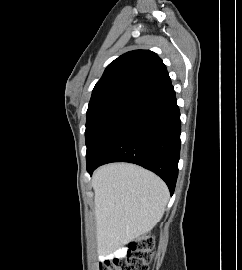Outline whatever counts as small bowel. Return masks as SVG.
<instances>
[{
	"label": "small bowel",
	"mask_w": 242,
	"mask_h": 270,
	"mask_svg": "<svg viewBox=\"0 0 242 270\" xmlns=\"http://www.w3.org/2000/svg\"><path fill=\"white\" fill-rule=\"evenodd\" d=\"M124 253H125V249H118L114 253L109 254L106 257H104L99 265L105 264L106 262L110 261L115 256H123Z\"/></svg>",
	"instance_id": "obj_1"
}]
</instances>
